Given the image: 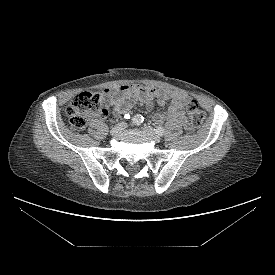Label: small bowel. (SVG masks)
Instances as JSON below:
<instances>
[{
	"instance_id": "small-bowel-1",
	"label": "small bowel",
	"mask_w": 275,
	"mask_h": 275,
	"mask_svg": "<svg viewBox=\"0 0 275 275\" xmlns=\"http://www.w3.org/2000/svg\"><path fill=\"white\" fill-rule=\"evenodd\" d=\"M104 101L106 104L112 106L113 113L117 116L126 114L138 102L144 104L147 110H152L155 102L159 105L169 102L168 110L155 114L153 120L155 122L176 120L186 130H192L185 115V108L190 102V97L184 91L150 86L123 85L106 90ZM107 113L106 110L101 115H107Z\"/></svg>"
}]
</instances>
